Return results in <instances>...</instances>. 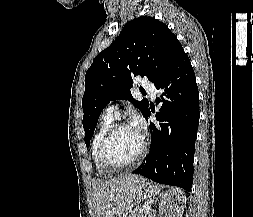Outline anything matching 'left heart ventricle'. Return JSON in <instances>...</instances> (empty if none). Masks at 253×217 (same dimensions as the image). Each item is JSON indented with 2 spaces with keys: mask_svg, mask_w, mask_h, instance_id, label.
Masks as SVG:
<instances>
[{
  "mask_svg": "<svg viewBox=\"0 0 253 217\" xmlns=\"http://www.w3.org/2000/svg\"><path fill=\"white\" fill-rule=\"evenodd\" d=\"M142 146V133L132 126L117 130L106 146V156L114 164H125L133 160Z\"/></svg>",
  "mask_w": 253,
  "mask_h": 217,
  "instance_id": "obj_1",
  "label": "left heart ventricle"
}]
</instances>
